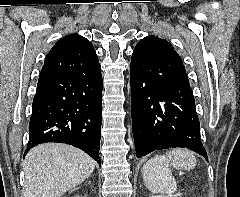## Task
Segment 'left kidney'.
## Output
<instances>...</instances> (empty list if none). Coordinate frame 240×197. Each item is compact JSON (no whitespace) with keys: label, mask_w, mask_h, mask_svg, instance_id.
<instances>
[{"label":"left kidney","mask_w":240,"mask_h":197,"mask_svg":"<svg viewBox=\"0 0 240 197\" xmlns=\"http://www.w3.org/2000/svg\"><path fill=\"white\" fill-rule=\"evenodd\" d=\"M149 197H168L166 195H152V196H149Z\"/></svg>","instance_id":"obj_1"}]
</instances>
